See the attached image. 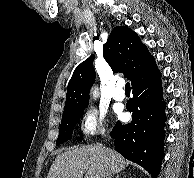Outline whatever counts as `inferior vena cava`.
<instances>
[{
  "label": "inferior vena cava",
  "mask_w": 194,
  "mask_h": 178,
  "mask_svg": "<svg viewBox=\"0 0 194 178\" xmlns=\"http://www.w3.org/2000/svg\"><path fill=\"white\" fill-rule=\"evenodd\" d=\"M111 176H112V170H111L110 166L108 165L105 167L102 178H111Z\"/></svg>",
  "instance_id": "obj_1"
}]
</instances>
